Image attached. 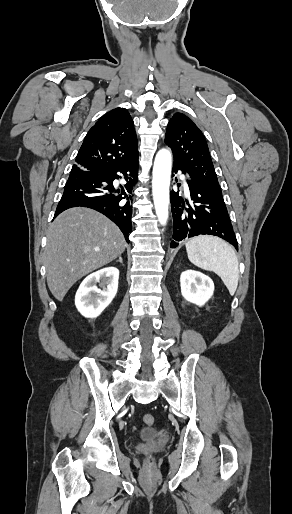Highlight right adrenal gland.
<instances>
[{
    "label": "right adrenal gland",
    "mask_w": 292,
    "mask_h": 514,
    "mask_svg": "<svg viewBox=\"0 0 292 514\" xmlns=\"http://www.w3.org/2000/svg\"><path fill=\"white\" fill-rule=\"evenodd\" d=\"M116 262H120V264H122V266H124L121 256H120L119 260H116Z\"/></svg>",
    "instance_id": "obj_1"
}]
</instances>
